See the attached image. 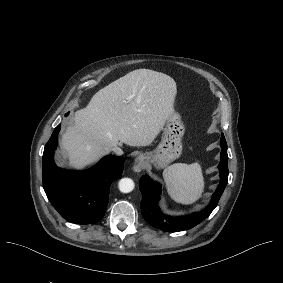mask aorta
I'll list each match as a JSON object with an SVG mask.
<instances>
[{"mask_svg": "<svg viewBox=\"0 0 283 283\" xmlns=\"http://www.w3.org/2000/svg\"><path fill=\"white\" fill-rule=\"evenodd\" d=\"M118 187L122 193H129L134 189L135 184L134 181L130 178H122L119 181Z\"/></svg>", "mask_w": 283, "mask_h": 283, "instance_id": "1", "label": "aorta"}]
</instances>
